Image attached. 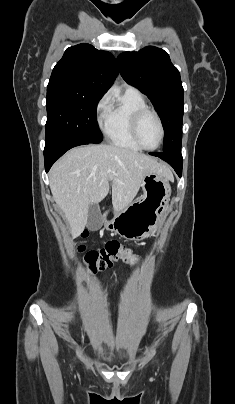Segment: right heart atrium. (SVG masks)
I'll list each match as a JSON object with an SVG mask.
<instances>
[{"mask_svg": "<svg viewBox=\"0 0 235 404\" xmlns=\"http://www.w3.org/2000/svg\"><path fill=\"white\" fill-rule=\"evenodd\" d=\"M111 104L110 95L108 93L104 94L97 102L95 107V115L99 125H103L106 115L109 111Z\"/></svg>", "mask_w": 235, "mask_h": 404, "instance_id": "right-heart-atrium-1", "label": "right heart atrium"}]
</instances>
